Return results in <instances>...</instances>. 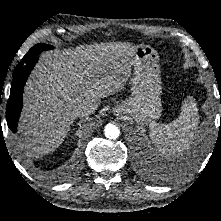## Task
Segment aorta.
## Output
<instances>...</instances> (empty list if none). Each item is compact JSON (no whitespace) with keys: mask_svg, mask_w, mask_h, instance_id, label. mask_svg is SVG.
Returning a JSON list of instances; mask_svg holds the SVG:
<instances>
[{"mask_svg":"<svg viewBox=\"0 0 221 221\" xmlns=\"http://www.w3.org/2000/svg\"><path fill=\"white\" fill-rule=\"evenodd\" d=\"M106 138L115 140L120 136L119 128L114 124H107L104 129Z\"/></svg>","mask_w":221,"mask_h":221,"instance_id":"1","label":"aorta"}]
</instances>
